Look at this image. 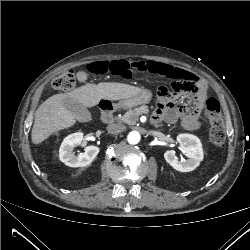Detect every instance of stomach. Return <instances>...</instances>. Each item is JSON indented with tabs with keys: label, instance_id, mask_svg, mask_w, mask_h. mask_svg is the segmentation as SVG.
<instances>
[{
	"label": "stomach",
	"instance_id": "stomach-1",
	"mask_svg": "<svg viewBox=\"0 0 250 250\" xmlns=\"http://www.w3.org/2000/svg\"><path fill=\"white\" fill-rule=\"evenodd\" d=\"M152 99V92L150 90L144 89L137 95L123 99L119 102V105L123 108H132L134 106L147 104Z\"/></svg>",
	"mask_w": 250,
	"mask_h": 250
}]
</instances>
